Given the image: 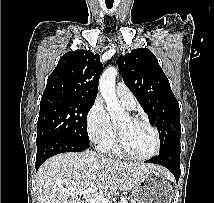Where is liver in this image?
Returning a JSON list of instances; mask_svg holds the SVG:
<instances>
[{
  "mask_svg": "<svg viewBox=\"0 0 214 203\" xmlns=\"http://www.w3.org/2000/svg\"><path fill=\"white\" fill-rule=\"evenodd\" d=\"M161 167L135 162H120L93 151L67 152L49 158L36 176L38 203H83L79 196L65 193L72 188L97 186L100 195L135 189L143 172Z\"/></svg>",
  "mask_w": 214,
  "mask_h": 203,
  "instance_id": "liver-1",
  "label": "liver"
}]
</instances>
